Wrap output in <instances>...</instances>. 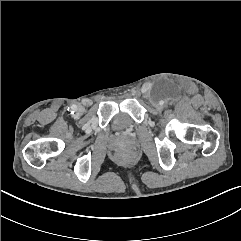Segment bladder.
<instances>
[{"label":"bladder","instance_id":"bladder-1","mask_svg":"<svg viewBox=\"0 0 241 241\" xmlns=\"http://www.w3.org/2000/svg\"><path fill=\"white\" fill-rule=\"evenodd\" d=\"M111 126L114 130L122 131L133 126L130 116L123 112H118L111 120Z\"/></svg>","mask_w":241,"mask_h":241}]
</instances>
